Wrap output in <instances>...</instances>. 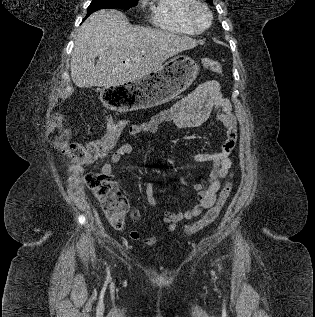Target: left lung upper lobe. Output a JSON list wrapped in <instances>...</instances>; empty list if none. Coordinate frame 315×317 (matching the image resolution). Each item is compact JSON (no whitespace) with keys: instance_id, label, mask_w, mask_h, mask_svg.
<instances>
[{"instance_id":"obj_1","label":"left lung upper lobe","mask_w":315,"mask_h":317,"mask_svg":"<svg viewBox=\"0 0 315 317\" xmlns=\"http://www.w3.org/2000/svg\"><path fill=\"white\" fill-rule=\"evenodd\" d=\"M210 5H213V1L212 0H206Z\"/></svg>"}]
</instances>
